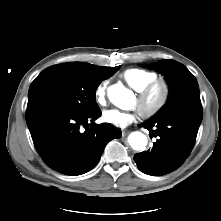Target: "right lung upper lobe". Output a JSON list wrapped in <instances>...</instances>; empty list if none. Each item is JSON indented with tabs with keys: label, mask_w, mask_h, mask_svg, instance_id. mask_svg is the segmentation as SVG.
Masks as SVG:
<instances>
[{
	"label": "right lung upper lobe",
	"mask_w": 221,
	"mask_h": 221,
	"mask_svg": "<svg viewBox=\"0 0 221 221\" xmlns=\"http://www.w3.org/2000/svg\"><path fill=\"white\" fill-rule=\"evenodd\" d=\"M66 64L74 67L75 69L81 70L83 72H86V73L92 74V75L104 74V73L108 72L111 68V67L96 66V65H92V64H88V63H84V62H70V63H66Z\"/></svg>",
	"instance_id": "right-lung-upper-lobe-1"
}]
</instances>
